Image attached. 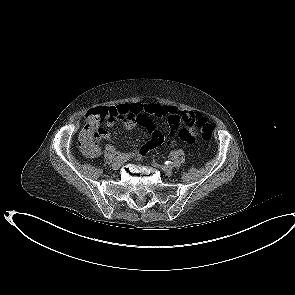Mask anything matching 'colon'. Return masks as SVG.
I'll use <instances>...</instances> for the list:
<instances>
[{
    "label": "colon",
    "mask_w": 295,
    "mask_h": 295,
    "mask_svg": "<svg viewBox=\"0 0 295 295\" xmlns=\"http://www.w3.org/2000/svg\"><path fill=\"white\" fill-rule=\"evenodd\" d=\"M91 111L87 114V117H89L92 120H103L100 118L94 119L91 116ZM192 126L196 127L197 131L200 133L201 137L204 140H209L212 137V134L215 130V124L212 121H210L204 117H198V118L194 119ZM80 146L85 152H89L91 149V139L85 137L82 133L80 135Z\"/></svg>",
    "instance_id": "obj_1"
}]
</instances>
